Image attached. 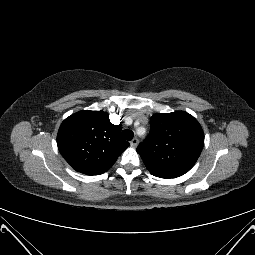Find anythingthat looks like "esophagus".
I'll list each match as a JSON object with an SVG mask.
<instances>
[{
	"instance_id": "obj_1",
	"label": "esophagus",
	"mask_w": 255,
	"mask_h": 255,
	"mask_svg": "<svg viewBox=\"0 0 255 255\" xmlns=\"http://www.w3.org/2000/svg\"><path fill=\"white\" fill-rule=\"evenodd\" d=\"M138 143H139V140L137 139V138H133L131 141H130V145L132 146V147H137V145H138Z\"/></svg>"
}]
</instances>
